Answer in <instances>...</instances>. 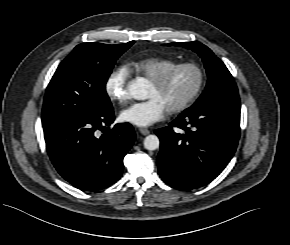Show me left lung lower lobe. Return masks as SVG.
Returning a JSON list of instances; mask_svg holds the SVG:
<instances>
[{"label": "left lung lower lobe", "mask_w": 290, "mask_h": 245, "mask_svg": "<svg viewBox=\"0 0 290 245\" xmlns=\"http://www.w3.org/2000/svg\"><path fill=\"white\" fill-rule=\"evenodd\" d=\"M174 127L183 131L178 133ZM155 133L160 138L162 180L176 189H195L214 180L234 155L240 136V108L215 104L190 108Z\"/></svg>", "instance_id": "obj_1"}]
</instances>
